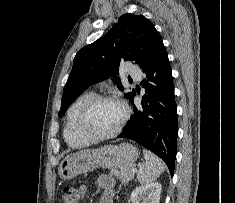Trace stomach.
I'll list each match as a JSON object with an SVG mask.
<instances>
[{"mask_svg":"<svg viewBox=\"0 0 235 203\" xmlns=\"http://www.w3.org/2000/svg\"><path fill=\"white\" fill-rule=\"evenodd\" d=\"M138 157V149L129 143L82 150L65 157L59 165L58 174L63 180H70L98 167L115 168L131 165Z\"/></svg>","mask_w":235,"mask_h":203,"instance_id":"1","label":"stomach"}]
</instances>
